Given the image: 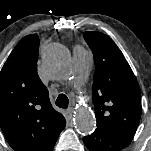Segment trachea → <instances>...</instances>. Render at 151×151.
<instances>
[{
	"label": "trachea",
	"instance_id": "trachea-1",
	"mask_svg": "<svg viewBox=\"0 0 151 151\" xmlns=\"http://www.w3.org/2000/svg\"><path fill=\"white\" fill-rule=\"evenodd\" d=\"M56 105L60 108L66 109L69 105V100L65 94H60L56 99Z\"/></svg>",
	"mask_w": 151,
	"mask_h": 151
}]
</instances>
